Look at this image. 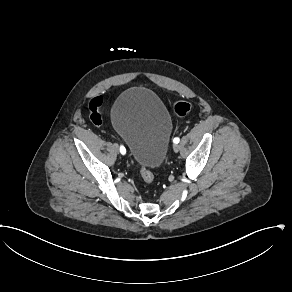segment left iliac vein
I'll use <instances>...</instances> for the list:
<instances>
[{"mask_svg":"<svg viewBox=\"0 0 292 292\" xmlns=\"http://www.w3.org/2000/svg\"><path fill=\"white\" fill-rule=\"evenodd\" d=\"M174 152H178L180 150V146L178 144L173 145Z\"/></svg>","mask_w":292,"mask_h":292,"instance_id":"obj_1","label":"left iliac vein"}]
</instances>
